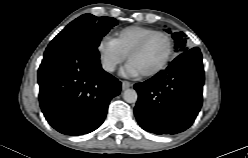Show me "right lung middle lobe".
<instances>
[{"instance_id":"dd1d6c3e","label":"right lung middle lobe","mask_w":248,"mask_h":158,"mask_svg":"<svg viewBox=\"0 0 248 158\" xmlns=\"http://www.w3.org/2000/svg\"><path fill=\"white\" fill-rule=\"evenodd\" d=\"M115 25L117 21L112 17L97 19L91 14H84L68 24L51 43L63 42L97 48L101 38Z\"/></svg>"}]
</instances>
